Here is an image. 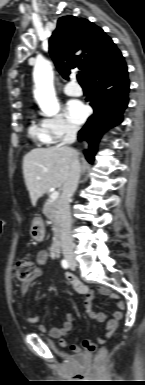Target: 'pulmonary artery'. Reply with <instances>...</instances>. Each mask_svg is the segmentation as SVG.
Returning <instances> with one entry per match:
<instances>
[{"instance_id": "1", "label": "pulmonary artery", "mask_w": 145, "mask_h": 385, "mask_svg": "<svg viewBox=\"0 0 145 385\" xmlns=\"http://www.w3.org/2000/svg\"><path fill=\"white\" fill-rule=\"evenodd\" d=\"M63 91L70 96H80L83 93L82 88L75 80L66 83L63 87Z\"/></svg>"}]
</instances>
